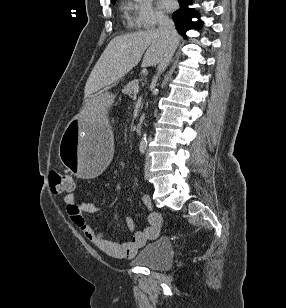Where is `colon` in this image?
<instances>
[{
  "instance_id": "obj_1",
  "label": "colon",
  "mask_w": 286,
  "mask_h": 308,
  "mask_svg": "<svg viewBox=\"0 0 286 308\" xmlns=\"http://www.w3.org/2000/svg\"><path fill=\"white\" fill-rule=\"evenodd\" d=\"M50 187L55 193H70L74 189V178L70 174L53 171L50 174Z\"/></svg>"
}]
</instances>
